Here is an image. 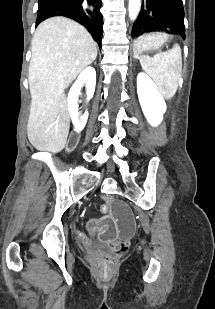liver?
Here are the masks:
<instances>
[{"label":"liver","mask_w":215,"mask_h":309,"mask_svg":"<svg viewBox=\"0 0 215 309\" xmlns=\"http://www.w3.org/2000/svg\"><path fill=\"white\" fill-rule=\"evenodd\" d=\"M97 56V44L85 26L51 16L40 22L31 42L28 138L37 150L60 152L67 142L70 114L65 88Z\"/></svg>","instance_id":"6515ba94"}]
</instances>
